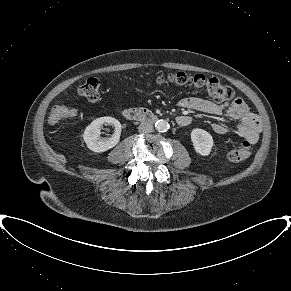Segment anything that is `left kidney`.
I'll use <instances>...</instances> for the list:
<instances>
[{
	"mask_svg": "<svg viewBox=\"0 0 291 291\" xmlns=\"http://www.w3.org/2000/svg\"><path fill=\"white\" fill-rule=\"evenodd\" d=\"M191 141L196 153L202 156H208L213 147L212 136L203 129H193L191 131Z\"/></svg>",
	"mask_w": 291,
	"mask_h": 291,
	"instance_id": "1",
	"label": "left kidney"
}]
</instances>
